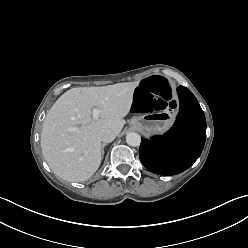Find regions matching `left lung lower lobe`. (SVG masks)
I'll use <instances>...</instances> for the list:
<instances>
[{
  "label": "left lung lower lobe",
  "instance_id": "1",
  "mask_svg": "<svg viewBox=\"0 0 248 248\" xmlns=\"http://www.w3.org/2000/svg\"><path fill=\"white\" fill-rule=\"evenodd\" d=\"M180 108L173 127L162 136L144 139L139 148L142 164L160 175H176L200 156L206 139V119L195 96L184 86L177 88Z\"/></svg>",
  "mask_w": 248,
  "mask_h": 248
}]
</instances>
